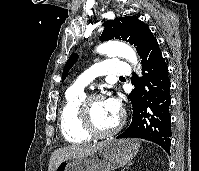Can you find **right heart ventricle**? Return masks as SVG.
Masks as SVG:
<instances>
[{"label":"right heart ventricle","mask_w":199,"mask_h":171,"mask_svg":"<svg viewBox=\"0 0 199 171\" xmlns=\"http://www.w3.org/2000/svg\"><path fill=\"white\" fill-rule=\"evenodd\" d=\"M85 97L83 90L69 88L59 110L60 130L64 139L73 144H81L91 139L83 127L80 105Z\"/></svg>","instance_id":"e07e8e85"}]
</instances>
